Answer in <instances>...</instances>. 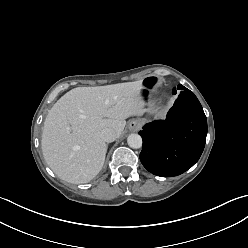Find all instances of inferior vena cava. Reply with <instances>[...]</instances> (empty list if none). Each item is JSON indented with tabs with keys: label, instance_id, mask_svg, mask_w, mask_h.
Returning <instances> with one entry per match:
<instances>
[{
	"label": "inferior vena cava",
	"instance_id": "obj_1",
	"mask_svg": "<svg viewBox=\"0 0 248 248\" xmlns=\"http://www.w3.org/2000/svg\"><path fill=\"white\" fill-rule=\"evenodd\" d=\"M100 137L102 138L103 141L105 142H113L117 138V134L113 129L106 128L103 129Z\"/></svg>",
	"mask_w": 248,
	"mask_h": 248
}]
</instances>
